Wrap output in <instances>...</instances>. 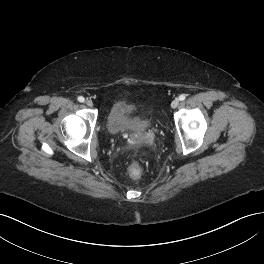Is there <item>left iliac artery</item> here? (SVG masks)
I'll return each mask as SVG.
<instances>
[{
  "label": "left iliac artery",
  "mask_w": 264,
  "mask_h": 264,
  "mask_svg": "<svg viewBox=\"0 0 264 264\" xmlns=\"http://www.w3.org/2000/svg\"><path fill=\"white\" fill-rule=\"evenodd\" d=\"M185 98H186V96H185L184 94H181V95L179 96V100H180V101L185 100Z\"/></svg>",
  "instance_id": "1"
}]
</instances>
